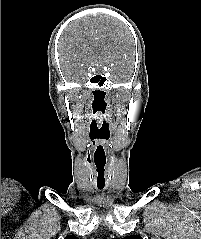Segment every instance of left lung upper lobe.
Segmentation results:
<instances>
[{"label": "left lung upper lobe", "mask_w": 201, "mask_h": 239, "mask_svg": "<svg viewBox=\"0 0 201 239\" xmlns=\"http://www.w3.org/2000/svg\"><path fill=\"white\" fill-rule=\"evenodd\" d=\"M114 239H118V238H114ZM121 239H142V237L140 235H130Z\"/></svg>", "instance_id": "1"}]
</instances>
